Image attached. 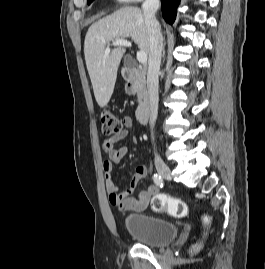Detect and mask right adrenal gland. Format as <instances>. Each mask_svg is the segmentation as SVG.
I'll return each mask as SVG.
<instances>
[{
    "label": "right adrenal gland",
    "mask_w": 265,
    "mask_h": 269,
    "mask_svg": "<svg viewBox=\"0 0 265 269\" xmlns=\"http://www.w3.org/2000/svg\"><path fill=\"white\" fill-rule=\"evenodd\" d=\"M165 55V49H163V56Z\"/></svg>",
    "instance_id": "2a0ac1e0"
}]
</instances>
